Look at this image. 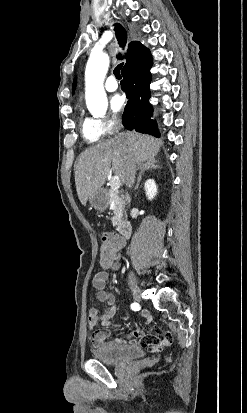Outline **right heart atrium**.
Here are the masks:
<instances>
[{
    "label": "right heart atrium",
    "mask_w": 247,
    "mask_h": 413,
    "mask_svg": "<svg viewBox=\"0 0 247 413\" xmlns=\"http://www.w3.org/2000/svg\"><path fill=\"white\" fill-rule=\"evenodd\" d=\"M92 126L96 133L101 134H112L114 132L115 126L113 122L102 121L101 119H94L92 121Z\"/></svg>",
    "instance_id": "1"
}]
</instances>
